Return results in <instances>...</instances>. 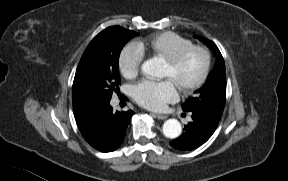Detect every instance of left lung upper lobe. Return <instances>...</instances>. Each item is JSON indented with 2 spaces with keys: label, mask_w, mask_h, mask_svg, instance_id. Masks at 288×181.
Listing matches in <instances>:
<instances>
[{
  "label": "left lung upper lobe",
  "mask_w": 288,
  "mask_h": 181,
  "mask_svg": "<svg viewBox=\"0 0 288 181\" xmlns=\"http://www.w3.org/2000/svg\"><path fill=\"white\" fill-rule=\"evenodd\" d=\"M217 55V60L213 71L209 74L205 84L182 104L185 112L200 111L216 119H221L226 101V75L224 59L217 46L210 40L195 36Z\"/></svg>",
  "instance_id": "left-lung-upper-lobe-1"
}]
</instances>
